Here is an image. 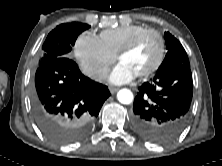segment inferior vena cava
I'll return each instance as SVG.
<instances>
[{
  "mask_svg": "<svg viewBox=\"0 0 222 166\" xmlns=\"http://www.w3.org/2000/svg\"><path fill=\"white\" fill-rule=\"evenodd\" d=\"M107 73H108V69L104 67V68H100V69L92 71L89 74V76L96 81H102L106 78Z\"/></svg>",
  "mask_w": 222,
  "mask_h": 166,
  "instance_id": "inferior-vena-cava-1",
  "label": "inferior vena cava"
}]
</instances>
